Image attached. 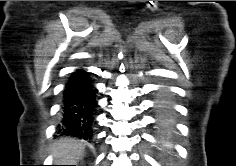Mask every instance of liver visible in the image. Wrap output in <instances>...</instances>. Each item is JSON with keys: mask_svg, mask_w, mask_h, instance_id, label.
<instances>
[{"mask_svg": "<svg viewBox=\"0 0 236 166\" xmlns=\"http://www.w3.org/2000/svg\"><path fill=\"white\" fill-rule=\"evenodd\" d=\"M83 153V145L75 139L59 140L52 147V154L56 163H76L83 156Z\"/></svg>", "mask_w": 236, "mask_h": 166, "instance_id": "1", "label": "liver"}]
</instances>
